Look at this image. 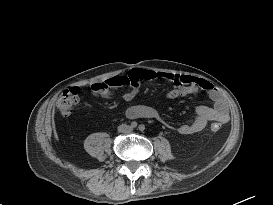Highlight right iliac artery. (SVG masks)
<instances>
[{
  "label": "right iliac artery",
  "mask_w": 273,
  "mask_h": 205,
  "mask_svg": "<svg viewBox=\"0 0 273 205\" xmlns=\"http://www.w3.org/2000/svg\"><path fill=\"white\" fill-rule=\"evenodd\" d=\"M131 127H132V128H136V127H137V123H136V122H132V123H131Z\"/></svg>",
  "instance_id": "right-iliac-artery-1"
}]
</instances>
